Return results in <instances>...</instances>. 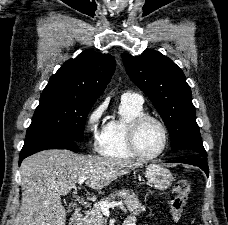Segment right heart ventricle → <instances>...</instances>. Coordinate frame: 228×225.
I'll return each mask as SVG.
<instances>
[{"label": "right heart ventricle", "mask_w": 228, "mask_h": 225, "mask_svg": "<svg viewBox=\"0 0 228 225\" xmlns=\"http://www.w3.org/2000/svg\"><path fill=\"white\" fill-rule=\"evenodd\" d=\"M120 117L110 121L102 132L97 150L100 154L110 158L129 159L136 156L128 144V128L130 122L144 113L143 105L122 102L119 107Z\"/></svg>", "instance_id": "e07e8e85"}]
</instances>
